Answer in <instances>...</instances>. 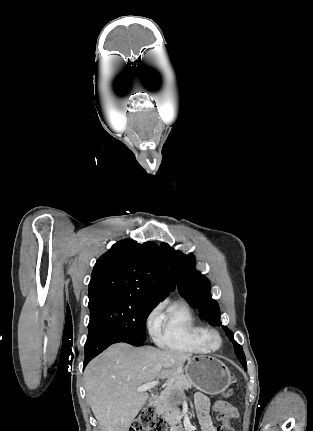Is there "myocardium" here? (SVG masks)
<instances>
[{"label":"myocardium","mask_w":313,"mask_h":431,"mask_svg":"<svg viewBox=\"0 0 313 431\" xmlns=\"http://www.w3.org/2000/svg\"><path fill=\"white\" fill-rule=\"evenodd\" d=\"M204 339L210 350H218L223 343L221 334L215 329H208Z\"/></svg>","instance_id":"obj_1"}]
</instances>
